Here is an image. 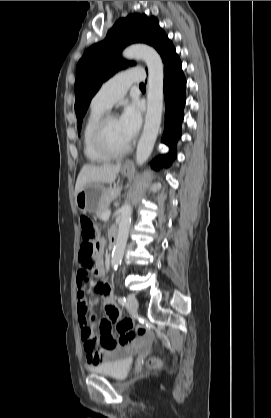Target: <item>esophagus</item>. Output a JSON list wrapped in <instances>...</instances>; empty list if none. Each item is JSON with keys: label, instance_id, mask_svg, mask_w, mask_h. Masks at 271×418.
I'll use <instances>...</instances> for the list:
<instances>
[{"label": "esophagus", "instance_id": "1", "mask_svg": "<svg viewBox=\"0 0 271 418\" xmlns=\"http://www.w3.org/2000/svg\"><path fill=\"white\" fill-rule=\"evenodd\" d=\"M131 165V161H126L124 166H130Z\"/></svg>", "mask_w": 271, "mask_h": 418}]
</instances>
